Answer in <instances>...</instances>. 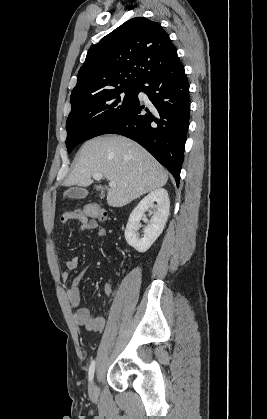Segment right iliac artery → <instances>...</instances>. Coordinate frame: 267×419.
Wrapping results in <instances>:
<instances>
[{"label":"right iliac artery","instance_id":"right-iliac-artery-1","mask_svg":"<svg viewBox=\"0 0 267 419\" xmlns=\"http://www.w3.org/2000/svg\"><path fill=\"white\" fill-rule=\"evenodd\" d=\"M94 371H95V360L92 361V363H91V365L89 367L88 376H89V380L90 381H92V379H93Z\"/></svg>","mask_w":267,"mask_h":419}]
</instances>
